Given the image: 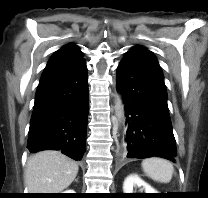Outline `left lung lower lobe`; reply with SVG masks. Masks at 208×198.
Listing matches in <instances>:
<instances>
[{"label":"left lung lower lobe","mask_w":208,"mask_h":198,"mask_svg":"<svg viewBox=\"0 0 208 198\" xmlns=\"http://www.w3.org/2000/svg\"><path fill=\"white\" fill-rule=\"evenodd\" d=\"M126 111L128 158L163 157L175 161V138L167 106V92L157 59L135 46L121 60L116 74Z\"/></svg>","instance_id":"1"}]
</instances>
